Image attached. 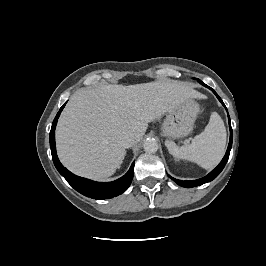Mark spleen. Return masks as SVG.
I'll return each instance as SVG.
<instances>
[{"instance_id": "spleen-1", "label": "spleen", "mask_w": 266, "mask_h": 266, "mask_svg": "<svg viewBox=\"0 0 266 266\" xmlns=\"http://www.w3.org/2000/svg\"><path fill=\"white\" fill-rule=\"evenodd\" d=\"M226 147V129L218 113L213 112L204 131L194 137L192 143L177 146L168 142L169 152L176 158L194 162L204 169H212L222 159Z\"/></svg>"}]
</instances>
